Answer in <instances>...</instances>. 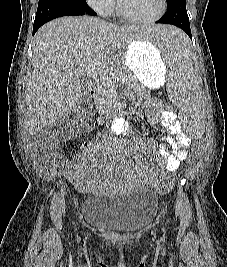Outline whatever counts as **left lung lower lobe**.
Segmentation results:
<instances>
[{"label":"left lung lower lobe","instance_id":"0a47b994","mask_svg":"<svg viewBox=\"0 0 227 267\" xmlns=\"http://www.w3.org/2000/svg\"><path fill=\"white\" fill-rule=\"evenodd\" d=\"M156 23L175 25L185 31L192 40L185 1L167 3V12Z\"/></svg>","mask_w":227,"mask_h":267}]
</instances>
